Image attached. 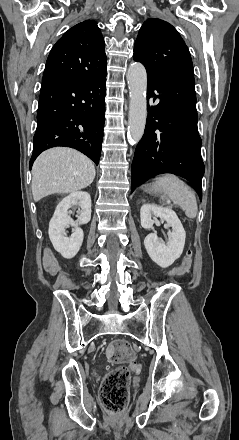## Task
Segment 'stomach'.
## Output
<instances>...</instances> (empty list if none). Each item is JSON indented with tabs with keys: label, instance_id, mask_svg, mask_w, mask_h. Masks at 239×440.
Returning a JSON list of instances; mask_svg holds the SVG:
<instances>
[{
	"label": "stomach",
	"instance_id": "1",
	"mask_svg": "<svg viewBox=\"0 0 239 440\" xmlns=\"http://www.w3.org/2000/svg\"><path fill=\"white\" fill-rule=\"evenodd\" d=\"M144 192H147V194H164L162 188L160 186H157V184H146L143 188Z\"/></svg>",
	"mask_w": 239,
	"mask_h": 440
}]
</instances>
